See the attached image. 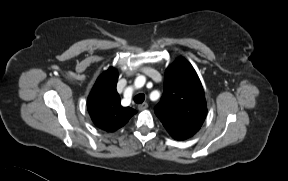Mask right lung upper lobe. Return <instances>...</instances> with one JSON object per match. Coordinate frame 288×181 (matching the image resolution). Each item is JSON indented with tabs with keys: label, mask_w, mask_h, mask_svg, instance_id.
I'll return each mask as SVG.
<instances>
[{
	"label": "right lung upper lobe",
	"mask_w": 288,
	"mask_h": 181,
	"mask_svg": "<svg viewBox=\"0 0 288 181\" xmlns=\"http://www.w3.org/2000/svg\"><path fill=\"white\" fill-rule=\"evenodd\" d=\"M118 73L110 67L97 79L88 96L87 107L92 121L100 129L114 132L123 127L136 113L130 107H122L116 90Z\"/></svg>",
	"instance_id": "right-lung-upper-lobe-1"
}]
</instances>
